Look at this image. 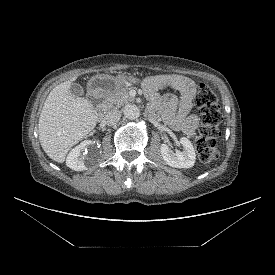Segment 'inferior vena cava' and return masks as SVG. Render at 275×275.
<instances>
[{
	"mask_svg": "<svg viewBox=\"0 0 275 275\" xmlns=\"http://www.w3.org/2000/svg\"><path fill=\"white\" fill-rule=\"evenodd\" d=\"M120 118H121V112L117 109H113L107 112V114L104 117V122L108 126H113L118 123Z\"/></svg>",
	"mask_w": 275,
	"mask_h": 275,
	"instance_id": "inferior-vena-cava-1",
	"label": "inferior vena cava"
}]
</instances>
